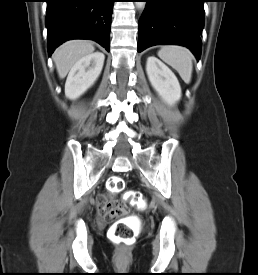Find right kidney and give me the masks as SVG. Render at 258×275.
Instances as JSON below:
<instances>
[{"label": "right kidney", "instance_id": "right-kidney-1", "mask_svg": "<svg viewBox=\"0 0 258 275\" xmlns=\"http://www.w3.org/2000/svg\"><path fill=\"white\" fill-rule=\"evenodd\" d=\"M104 59L103 53L95 52L74 64L65 83L67 98L77 99L95 83L102 71Z\"/></svg>", "mask_w": 258, "mask_h": 275}]
</instances>
